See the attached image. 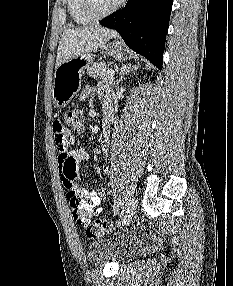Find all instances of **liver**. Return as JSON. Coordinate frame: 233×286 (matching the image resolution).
I'll return each instance as SVG.
<instances>
[{
	"instance_id": "liver-1",
	"label": "liver",
	"mask_w": 233,
	"mask_h": 286,
	"mask_svg": "<svg viewBox=\"0 0 233 286\" xmlns=\"http://www.w3.org/2000/svg\"><path fill=\"white\" fill-rule=\"evenodd\" d=\"M116 36V31L100 25L65 30L58 46L55 69L75 56L102 48L109 39Z\"/></svg>"
}]
</instances>
